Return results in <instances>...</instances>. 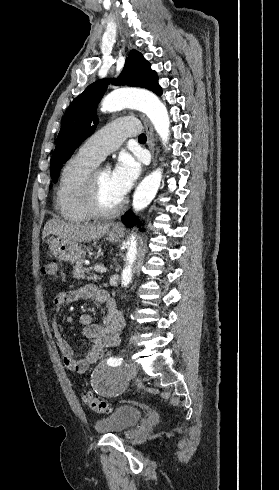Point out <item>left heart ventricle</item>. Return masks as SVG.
Masks as SVG:
<instances>
[{
    "label": "left heart ventricle",
    "instance_id": "obj_1",
    "mask_svg": "<svg viewBox=\"0 0 279 490\" xmlns=\"http://www.w3.org/2000/svg\"><path fill=\"white\" fill-rule=\"evenodd\" d=\"M111 172L100 170L98 179L101 187V199L105 206L111 207L116 205L121 199L117 197L111 184Z\"/></svg>",
    "mask_w": 279,
    "mask_h": 490
}]
</instances>
